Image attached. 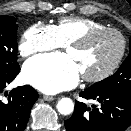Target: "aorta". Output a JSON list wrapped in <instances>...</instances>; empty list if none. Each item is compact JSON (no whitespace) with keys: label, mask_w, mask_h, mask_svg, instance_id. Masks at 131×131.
<instances>
[{"label":"aorta","mask_w":131,"mask_h":131,"mask_svg":"<svg viewBox=\"0 0 131 131\" xmlns=\"http://www.w3.org/2000/svg\"><path fill=\"white\" fill-rule=\"evenodd\" d=\"M57 110L62 115H69L74 110V103L70 98H62L57 104Z\"/></svg>","instance_id":"aorta-1"}]
</instances>
